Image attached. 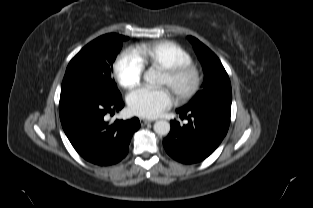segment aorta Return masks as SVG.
Returning a JSON list of instances; mask_svg holds the SVG:
<instances>
[{
	"mask_svg": "<svg viewBox=\"0 0 313 208\" xmlns=\"http://www.w3.org/2000/svg\"><path fill=\"white\" fill-rule=\"evenodd\" d=\"M143 78L147 83L155 84L159 80V74L155 70L149 69L144 73ZM153 128L158 135L164 136L170 132V123L165 120H159L154 123Z\"/></svg>",
	"mask_w": 313,
	"mask_h": 208,
	"instance_id": "obj_1",
	"label": "aorta"
}]
</instances>
